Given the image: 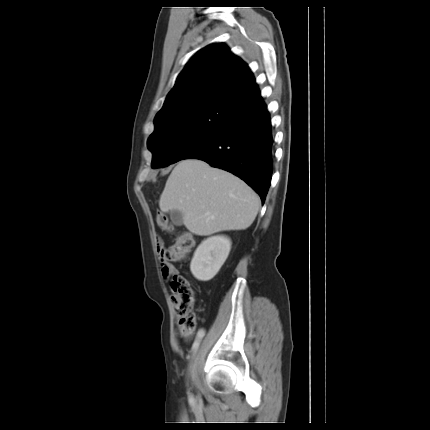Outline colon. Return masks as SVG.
<instances>
[{
  "instance_id": "colon-1",
  "label": "colon",
  "mask_w": 430,
  "mask_h": 430,
  "mask_svg": "<svg viewBox=\"0 0 430 430\" xmlns=\"http://www.w3.org/2000/svg\"><path fill=\"white\" fill-rule=\"evenodd\" d=\"M156 221L163 230L168 232L173 230L168 217L164 213L159 212L156 216ZM194 243L191 235L183 233L178 235L175 242L167 247L162 244L158 245L157 251L159 257L166 258V263L180 261L192 250ZM170 288L178 331L182 337L189 339L197 328V316L194 311V290L189 281L179 274L172 275Z\"/></svg>"
}]
</instances>
